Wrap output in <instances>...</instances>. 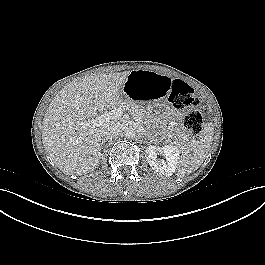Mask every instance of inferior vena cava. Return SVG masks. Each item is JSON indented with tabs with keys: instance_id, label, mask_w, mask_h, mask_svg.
I'll return each instance as SVG.
<instances>
[{
	"instance_id": "1",
	"label": "inferior vena cava",
	"mask_w": 265,
	"mask_h": 265,
	"mask_svg": "<svg viewBox=\"0 0 265 265\" xmlns=\"http://www.w3.org/2000/svg\"><path fill=\"white\" fill-rule=\"evenodd\" d=\"M119 129L116 124L107 123L104 124L100 129V136L103 138H110L116 134H118Z\"/></svg>"
}]
</instances>
